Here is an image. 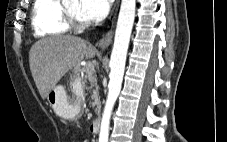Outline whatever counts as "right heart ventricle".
I'll use <instances>...</instances> for the list:
<instances>
[{"mask_svg":"<svg viewBox=\"0 0 227 142\" xmlns=\"http://www.w3.org/2000/svg\"><path fill=\"white\" fill-rule=\"evenodd\" d=\"M31 24L37 37L60 36L70 31L60 0H34Z\"/></svg>","mask_w":227,"mask_h":142,"instance_id":"obj_1","label":"right heart ventricle"}]
</instances>
